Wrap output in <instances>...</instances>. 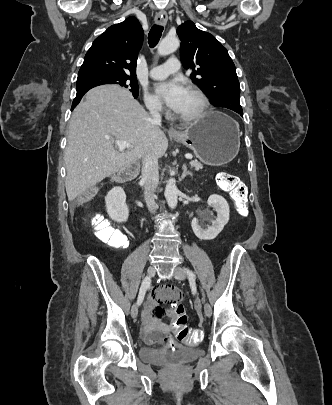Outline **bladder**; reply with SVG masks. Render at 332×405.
<instances>
[{"label":"bladder","instance_id":"1","mask_svg":"<svg viewBox=\"0 0 332 405\" xmlns=\"http://www.w3.org/2000/svg\"><path fill=\"white\" fill-rule=\"evenodd\" d=\"M144 346L138 351L139 358L143 362L153 364H184L195 360L202 354L197 347H186L177 343L151 342L143 335Z\"/></svg>","mask_w":332,"mask_h":405}]
</instances>
